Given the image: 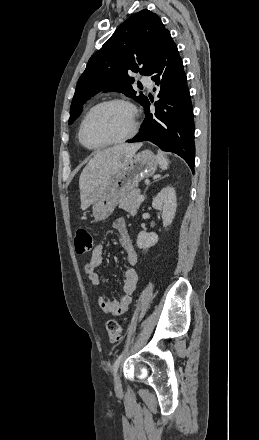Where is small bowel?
<instances>
[{
	"label": "small bowel",
	"instance_id": "c3829d8e",
	"mask_svg": "<svg viewBox=\"0 0 259 440\" xmlns=\"http://www.w3.org/2000/svg\"><path fill=\"white\" fill-rule=\"evenodd\" d=\"M113 228L118 233L119 244L125 252L128 268L124 274L121 298L119 300H110L106 297H100L98 299V305L105 313L111 315H121L127 311L132 300V294L136 288V284L138 281V275L136 270L134 269V265H136L138 261V255L128 233L125 219H116L113 222ZM103 252V245L97 244L93 248L89 260L84 265V272L87 274L88 279L93 286H99L101 283L100 277L96 272V269L102 265Z\"/></svg>",
	"mask_w": 259,
	"mask_h": 440
}]
</instances>
